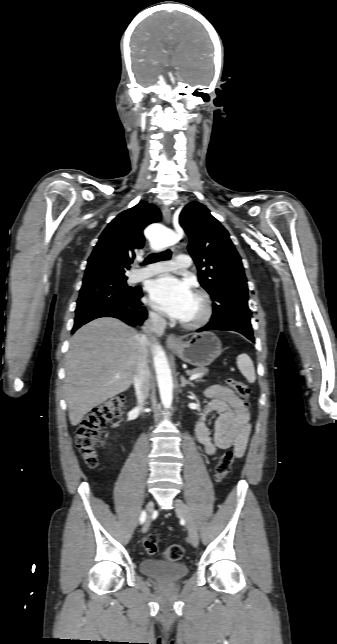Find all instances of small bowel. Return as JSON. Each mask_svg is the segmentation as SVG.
Instances as JSON below:
<instances>
[{"instance_id": "obj_1", "label": "small bowel", "mask_w": 337, "mask_h": 644, "mask_svg": "<svg viewBox=\"0 0 337 644\" xmlns=\"http://www.w3.org/2000/svg\"><path fill=\"white\" fill-rule=\"evenodd\" d=\"M205 395L208 403L195 427L198 442L208 456H214L218 449L233 447L235 457L241 458L246 451L251 433L247 408L240 397L223 386H210L205 391ZM213 412L218 413V418L211 431L205 423V418Z\"/></svg>"}]
</instances>
